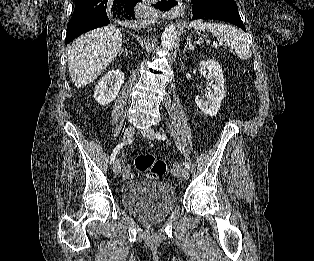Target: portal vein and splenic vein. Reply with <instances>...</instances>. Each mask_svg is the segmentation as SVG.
I'll return each mask as SVG.
<instances>
[{
    "instance_id": "18ae733b",
    "label": "portal vein and splenic vein",
    "mask_w": 314,
    "mask_h": 261,
    "mask_svg": "<svg viewBox=\"0 0 314 261\" xmlns=\"http://www.w3.org/2000/svg\"><path fill=\"white\" fill-rule=\"evenodd\" d=\"M213 46H214V47H217V43H216V42H214V43H213Z\"/></svg>"
}]
</instances>
